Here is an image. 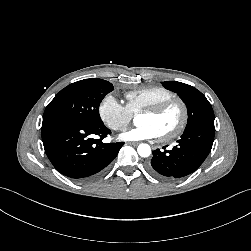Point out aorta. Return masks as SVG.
Segmentation results:
<instances>
[{
    "label": "aorta",
    "mask_w": 251,
    "mask_h": 251,
    "mask_svg": "<svg viewBox=\"0 0 251 251\" xmlns=\"http://www.w3.org/2000/svg\"><path fill=\"white\" fill-rule=\"evenodd\" d=\"M137 152L141 157H148L151 154V148L148 144H140L137 148Z\"/></svg>",
    "instance_id": "762f6f07"
}]
</instances>
